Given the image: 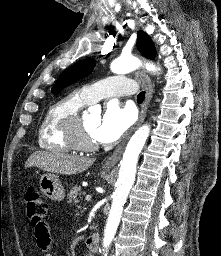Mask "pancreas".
<instances>
[{
  "mask_svg": "<svg viewBox=\"0 0 221 256\" xmlns=\"http://www.w3.org/2000/svg\"><path fill=\"white\" fill-rule=\"evenodd\" d=\"M85 192L82 191L81 186H74L72 187L71 191L68 194V202L74 201L75 203H78V197H81V195H84Z\"/></svg>",
  "mask_w": 221,
  "mask_h": 256,
  "instance_id": "obj_1",
  "label": "pancreas"
}]
</instances>
